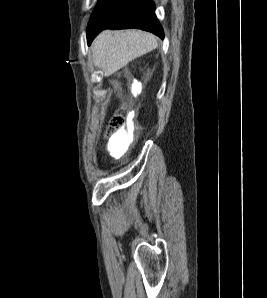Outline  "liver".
<instances>
[{
    "mask_svg": "<svg viewBox=\"0 0 267 298\" xmlns=\"http://www.w3.org/2000/svg\"><path fill=\"white\" fill-rule=\"evenodd\" d=\"M157 45L155 35L145 31L105 30L92 43L93 62L104 76H110L132 60L152 51Z\"/></svg>",
    "mask_w": 267,
    "mask_h": 298,
    "instance_id": "6515ba94",
    "label": "liver"
}]
</instances>
